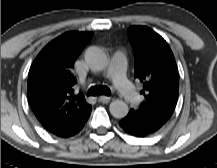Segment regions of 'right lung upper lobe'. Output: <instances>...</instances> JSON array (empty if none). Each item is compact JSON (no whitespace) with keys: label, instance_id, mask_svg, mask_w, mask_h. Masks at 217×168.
Wrapping results in <instances>:
<instances>
[{"label":"right lung upper lobe","instance_id":"obj_1","mask_svg":"<svg viewBox=\"0 0 217 168\" xmlns=\"http://www.w3.org/2000/svg\"><path fill=\"white\" fill-rule=\"evenodd\" d=\"M92 32H66L48 43L37 55L28 74L30 106L47 131L63 136L83 122L91 106L74 94V62L92 38Z\"/></svg>","mask_w":217,"mask_h":168}]
</instances>
